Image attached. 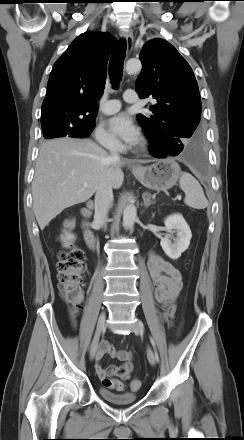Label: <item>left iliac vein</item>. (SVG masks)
<instances>
[{"mask_svg":"<svg viewBox=\"0 0 244 440\" xmlns=\"http://www.w3.org/2000/svg\"><path fill=\"white\" fill-rule=\"evenodd\" d=\"M134 331L136 334H140V335H142L144 333V325L139 319L134 324ZM147 356H148V360H149L150 364L154 365L155 364V357H154V354L150 348L147 351Z\"/></svg>","mask_w":244,"mask_h":440,"instance_id":"4c4485c4","label":"left iliac vein"}]
</instances>
